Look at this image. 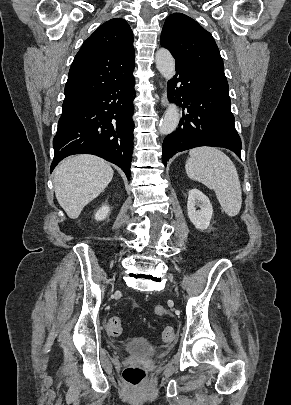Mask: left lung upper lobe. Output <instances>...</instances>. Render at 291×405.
I'll list each match as a JSON object with an SVG mask.
<instances>
[{"mask_svg": "<svg viewBox=\"0 0 291 405\" xmlns=\"http://www.w3.org/2000/svg\"><path fill=\"white\" fill-rule=\"evenodd\" d=\"M160 42L176 62L224 71L223 60L212 35L185 14L174 13L166 18Z\"/></svg>", "mask_w": 291, "mask_h": 405, "instance_id": "5c2ea615", "label": "left lung upper lobe"}]
</instances>
